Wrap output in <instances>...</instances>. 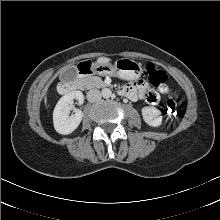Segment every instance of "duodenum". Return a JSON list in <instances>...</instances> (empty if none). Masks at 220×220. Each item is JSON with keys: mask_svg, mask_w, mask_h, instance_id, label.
<instances>
[{"mask_svg": "<svg viewBox=\"0 0 220 220\" xmlns=\"http://www.w3.org/2000/svg\"><path fill=\"white\" fill-rule=\"evenodd\" d=\"M93 72V67L90 63H82L78 66L79 77L89 75ZM78 86V81H65L61 83L59 90L61 93H69L75 90Z\"/></svg>", "mask_w": 220, "mask_h": 220, "instance_id": "410a0bca", "label": "duodenum"}]
</instances>
